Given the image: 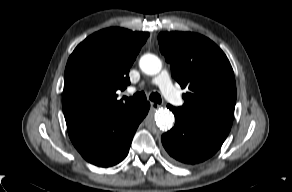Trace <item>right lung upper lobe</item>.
I'll use <instances>...</instances> for the list:
<instances>
[{
  "label": "right lung upper lobe",
  "mask_w": 292,
  "mask_h": 192,
  "mask_svg": "<svg viewBox=\"0 0 292 192\" xmlns=\"http://www.w3.org/2000/svg\"><path fill=\"white\" fill-rule=\"evenodd\" d=\"M148 36L113 27L90 35L75 48L64 75L66 121L105 118L134 106L117 100L116 91L130 84L129 69Z\"/></svg>",
  "instance_id": "obj_1"
}]
</instances>
